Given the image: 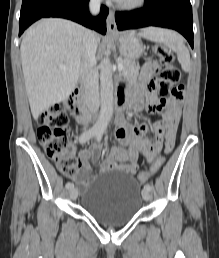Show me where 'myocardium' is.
Masks as SVG:
<instances>
[{
    "label": "myocardium",
    "mask_w": 219,
    "mask_h": 258,
    "mask_svg": "<svg viewBox=\"0 0 219 258\" xmlns=\"http://www.w3.org/2000/svg\"><path fill=\"white\" fill-rule=\"evenodd\" d=\"M146 0H125L119 2V7L124 10H135L142 7Z\"/></svg>",
    "instance_id": "myocardium-1"
}]
</instances>
